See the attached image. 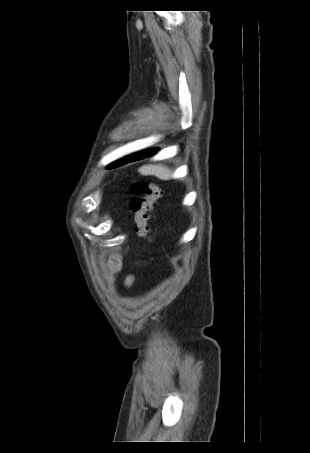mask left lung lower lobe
<instances>
[{
  "label": "left lung lower lobe",
  "instance_id": "left-lung-lower-lobe-1",
  "mask_svg": "<svg viewBox=\"0 0 310 453\" xmlns=\"http://www.w3.org/2000/svg\"><path fill=\"white\" fill-rule=\"evenodd\" d=\"M156 153V150H146V151H143V152H140V153H136L132 158H131V161H136V160H140V159H143V158H146V157H150L152 155H154Z\"/></svg>",
  "mask_w": 310,
  "mask_h": 453
}]
</instances>
